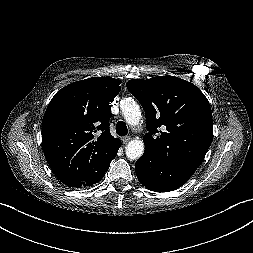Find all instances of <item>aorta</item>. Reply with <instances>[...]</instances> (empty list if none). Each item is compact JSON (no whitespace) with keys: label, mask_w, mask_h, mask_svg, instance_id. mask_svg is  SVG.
Wrapping results in <instances>:
<instances>
[{"label":"aorta","mask_w":253,"mask_h":253,"mask_svg":"<svg viewBox=\"0 0 253 253\" xmlns=\"http://www.w3.org/2000/svg\"><path fill=\"white\" fill-rule=\"evenodd\" d=\"M120 108L123 112L126 122L131 126L139 124L141 119V110L139 105L132 99L126 98L121 101ZM126 156L135 160L142 156L144 153V143L141 140L133 139L126 146Z\"/></svg>","instance_id":"aorta-1"}]
</instances>
